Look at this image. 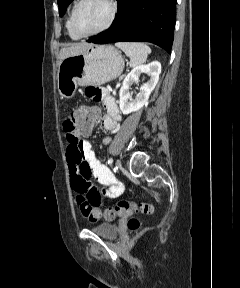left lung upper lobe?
<instances>
[{
	"instance_id": "5c2ea615",
	"label": "left lung upper lobe",
	"mask_w": 240,
	"mask_h": 288,
	"mask_svg": "<svg viewBox=\"0 0 240 288\" xmlns=\"http://www.w3.org/2000/svg\"><path fill=\"white\" fill-rule=\"evenodd\" d=\"M73 0H58V6H59V15L62 17L64 15V12L66 10V7L72 2Z\"/></svg>"
}]
</instances>
